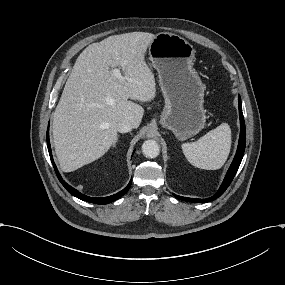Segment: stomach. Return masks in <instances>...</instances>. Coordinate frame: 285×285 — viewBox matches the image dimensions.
I'll return each instance as SVG.
<instances>
[{"mask_svg":"<svg viewBox=\"0 0 285 285\" xmlns=\"http://www.w3.org/2000/svg\"><path fill=\"white\" fill-rule=\"evenodd\" d=\"M149 59L165 99L160 124L184 141L203 129L204 85L193 69L195 50L179 35L160 32L149 44Z\"/></svg>","mask_w":285,"mask_h":285,"instance_id":"1","label":"stomach"}]
</instances>
